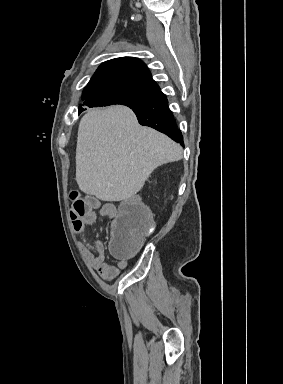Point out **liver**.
<instances>
[{
  "label": "liver",
  "instance_id": "1",
  "mask_svg": "<svg viewBox=\"0 0 283 384\" xmlns=\"http://www.w3.org/2000/svg\"><path fill=\"white\" fill-rule=\"evenodd\" d=\"M182 152L165 134L139 126L126 106L93 108L78 128L76 182L84 194L121 202L140 192L155 168L181 160Z\"/></svg>",
  "mask_w": 283,
  "mask_h": 384
}]
</instances>
